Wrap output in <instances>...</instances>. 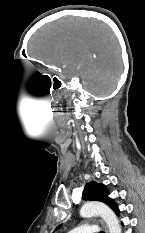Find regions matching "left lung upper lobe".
I'll return each instance as SVG.
<instances>
[{
  "instance_id": "1",
  "label": "left lung upper lobe",
  "mask_w": 145,
  "mask_h": 233,
  "mask_svg": "<svg viewBox=\"0 0 145 233\" xmlns=\"http://www.w3.org/2000/svg\"><path fill=\"white\" fill-rule=\"evenodd\" d=\"M108 194L109 192L105 185L92 181L86 184L82 198L84 200L91 199L104 202L118 214L119 210L117 205L111 198L108 197ZM59 227L60 226H58L56 230Z\"/></svg>"
}]
</instances>
